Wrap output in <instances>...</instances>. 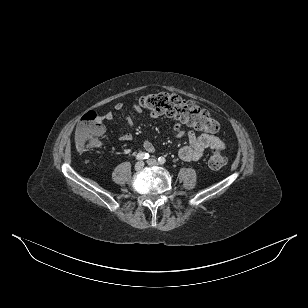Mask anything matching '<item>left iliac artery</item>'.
<instances>
[{
  "label": "left iliac artery",
  "mask_w": 308,
  "mask_h": 308,
  "mask_svg": "<svg viewBox=\"0 0 308 308\" xmlns=\"http://www.w3.org/2000/svg\"><path fill=\"white\" fill-rule=\"evenodd\" d=\"M158 162H159L160 164H164V163L166 162V159H165L164 157H159V158H158Z\"/></svg>",
  "instance_id": "left-iliac-artery-1"
}]
</instances>
